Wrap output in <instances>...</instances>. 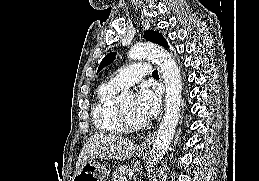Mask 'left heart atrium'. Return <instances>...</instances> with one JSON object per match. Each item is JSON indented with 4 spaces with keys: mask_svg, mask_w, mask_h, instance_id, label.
Listing matches in <instances>:
<instances>
[{
    "mask_svg": "<svg viewBox=\"0 0 259 181\" xmlns=\"http://www.w3.org/2000/svg\"><path fill=\"white\" fill-rule=\"evenodd\" d=\"M161 100L156 91L142 87L135 99V113L141 121L154 119L160 111Z\"/></svg>",
    "mask_w": 259,
    "mask_h": 181,
    "instance_id": "1",
    "label": "left heart atrium"
}]
</instances>
